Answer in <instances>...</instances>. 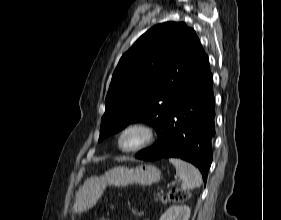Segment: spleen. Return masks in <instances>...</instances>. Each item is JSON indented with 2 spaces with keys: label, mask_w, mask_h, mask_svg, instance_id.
I'll list each match as a JSON object with an SVG mask.
<instances>
[{
  "label": "spleen",
  "mask_w": 281,
  "mask_h": 220,
  "mask_svg": "<svg viewBox=\"0 0 281 220\" xmlns=\"http://www.w3.org/2000/svg\"><path fill=\"white\" fill-rule=\"evenodd\" d=\"M169 162L174 165L176 174L182 180L181 187L183 190L201 186L203 181L202 176L195 166L177 158H170Z\"/></svg>",
  "instance_id": "1"
}]
</instances>
